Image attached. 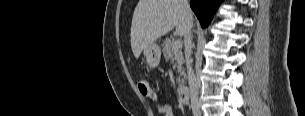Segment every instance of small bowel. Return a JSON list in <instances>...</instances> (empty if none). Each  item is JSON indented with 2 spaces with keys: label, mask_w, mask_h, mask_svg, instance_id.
Here are the masks:
<instances>
[{
  "label": "small bowel",
  "mask_w": 305,
  "mask_h": 116,
  "mask_svg": "<svg viewBox=\"0 0 305 116\" xmlns=\"http://www.w3.org/2000/svg\"><path fill=\"white\" fill-rule=\"evenodd\" d=\"M158 112L161 116H173V113L169 106L163 102L160 101L159 107H158Z\"/></svg>",
  "instance_id": "c3829d8e"
}]
</instances>
